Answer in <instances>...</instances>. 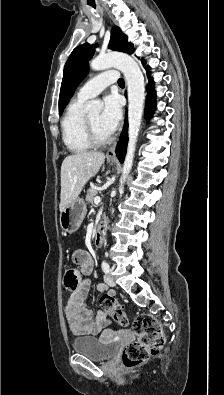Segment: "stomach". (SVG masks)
<instances>
[{"instance_id":"1","label":"stomach","mask_w":224,"mask_h":395,"mask_svg":"<svg viewBox=\"0 0 224 395\" xmlns=\"http://www.w3.org/2000/svg\"><path fill=\"white\" fill-rule=\"evenodd\" d=\"M87 212L86 203L83 199L77 198L72 201L63 211L60 212V226L69 233L75 232L81 225Z\"/></svg>"}]
</instances>
